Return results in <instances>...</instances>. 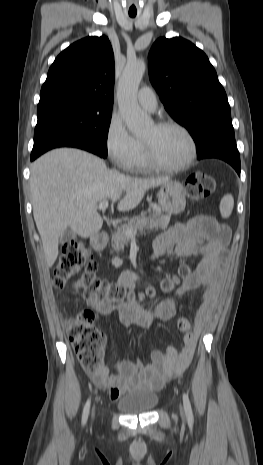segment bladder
<instances>
[{"label":"bladder","mask_w":263,"mask_h":465,"mask_svg":"<svg viewBox=\"0 0 263 465\" xmlns=\"http://www.w3.org/2000/svg\"><path fill=\"white\" fill-rule=\"evenodd\" d=\"M158 403V396L149 390H134L117 402V408L128 415H139L152 411Z\"/></svg>","instance_id":"obj_1"}]
</instances>
